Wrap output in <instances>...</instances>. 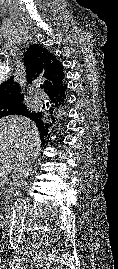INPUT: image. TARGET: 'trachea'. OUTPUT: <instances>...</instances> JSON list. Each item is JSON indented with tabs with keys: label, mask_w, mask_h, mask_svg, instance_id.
Here are the masks:
<instances>
[{
	"label": "trachea",
	"mask_w": 118,
	"mask_h": 269,
	"mask_svg": "<svg viewBox=\"0 0 118 269\" xmlns=\"http://www.w3.org/2000/svg\"><path fill=\"white\" fill-rule=\"evenodd\" d=\"M40 88L43 89L44 88V85H40Z\"/></svg>",
	"instance_id": "obj_1"
}]
</instances>
